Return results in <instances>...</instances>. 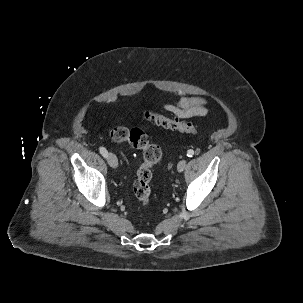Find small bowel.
Instances as JSON below:
<instances>
[{
	"instance_id": "obj_1",
	"label": "small bowel",
	"mask_w": 303,
	"mask_h": 303,
	"mask_svg": "<svg viewBox=\"0 0 303 303\" xmlns=\"http://www.w3.org/2000/svg\"><path fill=\"white\" fill-rule=\"evenodd\" d=\"M165 108L179 118L205 116L208 113L207 103L200 97H184L177 102L166 104Z\"/></svg>"
}]
</instances>
